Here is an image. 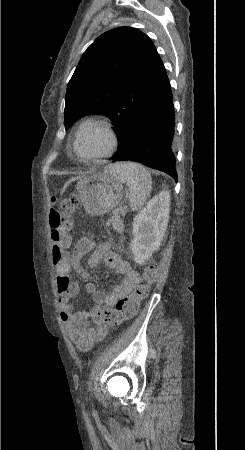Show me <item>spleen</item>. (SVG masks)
Segmentation results:
<instances>
[{"mask_svg": "<svg viewBox=\"0 0 245 450\" xmlns=\"http://www.w3.org/2000/svg\"><path fill=\"white\" fill-rule=\"evenodd\" d=\"M111 171L118 179L127 184L128 198L132 210H141L152 189L150 173L144 166L132 162L116 163L112 165Z\"/></svg>", "mask_w": 245, "mask_h": 450, "instance_id": "1", "label": "spleen"}]
</instances>
